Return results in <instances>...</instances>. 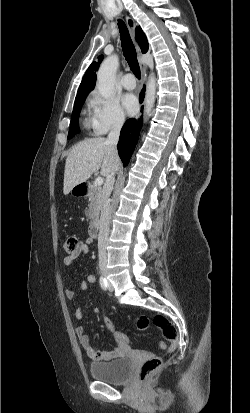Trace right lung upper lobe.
I'll return each mask as SVG.
<instances>
[{
	"label": "right lung upper lobe",
	"mask_w": 250,
	"mask_h": 413,
	"mask_svg": "<svg viewBox=\"0 0 250 413\" xmlns=\"http://www.w3.org/2000/svg\"><path fill=\"white\" fill-rule=\"evenodd\" d=\"M136 35H137V39L138 42L140 44L141 47V51L142 53H146L148 51V41L146 38V35L144 34V32L142 31V29L139 27L136 28ZM104 56L100 55L97 59V61L93 62L89 68L87 69L81 84L79 86L78 89V93L77 96H82V95H87V93H89L95 86V82H96V73L95 71L98 69L101 61L103 60Z\"/></svg>",
	"instance_id": "right-lung-upper-lobe-1"
}]
</instances>
